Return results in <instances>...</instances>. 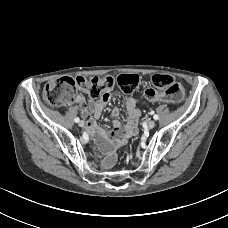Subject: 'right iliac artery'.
<instances>
[{
	"label": "right iliac artery",
	"mask_w": 228,
	"mask_h": 228,
	"mask_svg": "<svg viewBox=\"0 0 228 228\" xmlns=\"http://www.w3.org/2000/svg\"><path fill=\"white\" fill-rule=\"evenodd\" d=\"M74 121H75L76 123H78V122L80 121V119H79L78 117H76V118L74 119Z\"/></svg>",
	"instance_id": "82829eb1"
}]
</instances>
